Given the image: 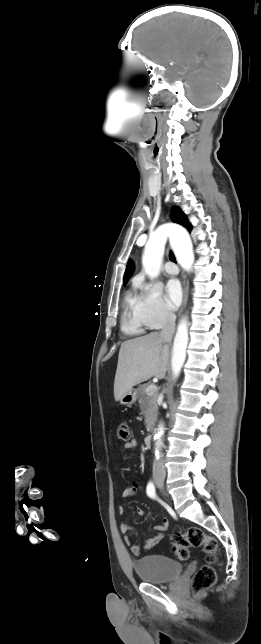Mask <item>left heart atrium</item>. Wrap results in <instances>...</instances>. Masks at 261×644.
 Listing matches in <instances>:
<instances>
[{
  "label": "left heart atrium",
  "instance_id": "left-heart-atrium-1",
  "mask_svg": "<svg viewBox=\"0 0 261 644\" xmlns=\"http://www.w3.org/2000/svg\"><path fill=\"white\" fill-rule=\"evenodd\" d=\"M166 300L169 308L176 309L182 300V288L177 279H170L166 284Z\"/></svg>",
  "mask_w": 261,
  "mask_h": 644
}]
</instances>
